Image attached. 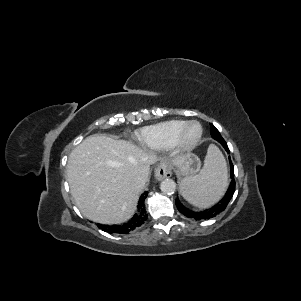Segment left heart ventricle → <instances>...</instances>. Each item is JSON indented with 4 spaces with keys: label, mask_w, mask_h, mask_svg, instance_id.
<instances>
[{
    "label": "left heart ventricle",
    "mask_w": 301,
    "mask_h": 301,
    "mask_svg": "<svg viewBox=\"0 0 301 301\" xmlns=\"http://www.w3.org/2000/svg\"><path fill=\"white\" fill-rule=\"evenodd\" d=\"M199 132V129L197 126H193L190 128V130L188 131V134H187V138L188 139H193Z\"/></svg>",
    "instance_id": "obj_1"
}]
</instances>
